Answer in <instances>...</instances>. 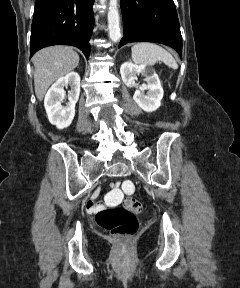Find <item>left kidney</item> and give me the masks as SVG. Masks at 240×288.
Here are the masks:
<instances>
[{
  "label": "left kidney",
  "mask_w": 240,
  "mask_h": 288,
  "mask_svg": "<svg viewBox=\"0 0 240 288\" xmlns=\"http://www.w3.org/2000/svg\"><path fill=\"white\" fill-rule=\"evenodd\" d=\"M120 74L127 87L135 86L137 75L144 76L146 83L135 91L133 100L146 112L156 111L160 107L164 92L159 77L153 69L146 65L125 62L120 67Z\"/></svg>",
  "instance_id": "left-kidney-1"
}]
</instances>
